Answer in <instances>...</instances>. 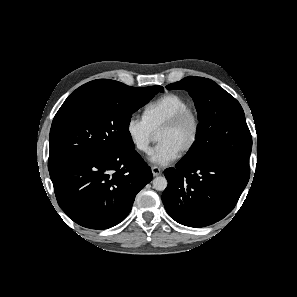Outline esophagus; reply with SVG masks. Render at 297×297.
I'll list each match as a JSON object with an SVG mask.
<instances>
[{
	"mask_svg": "<svg viewBox=\"0 0 297 297\" xmlns=\"http://www.w3.org/2000/svg\"><path fill=\"white\" fill-rule=\"evenodd\" d=\"M151 171H152L153 176H158L161 174V169L157 166H153L151 168Z\"/></svg>",
	"mask_w": 297,
	"mask_h": 297,
	"instance_id": "obj_1",
	"label": "esophagus"
}]
</instances>
